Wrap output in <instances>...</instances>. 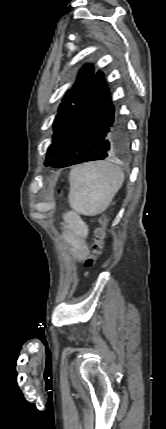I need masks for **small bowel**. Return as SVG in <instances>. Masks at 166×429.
Returning a JSON list of instances; mask_svg holds the SVG:
<instances>
[{"mask_svg":"<svg viewBox=\"0 0 166 429\" xmlns=\"http://www.w3.org/2000/svg\"><path fill=\"white\" fill-rule=\"evenodd\" d=\"M64 233L65 242L70 246L71 256L77 260H85L89 254L86 238L89 233L87 224L74 211H68L64 214Z\"/></svg>","mask_w":166,"mask_h":429,"instance_id":"c3829d8e","label":"small bowel"}]
</instances>
